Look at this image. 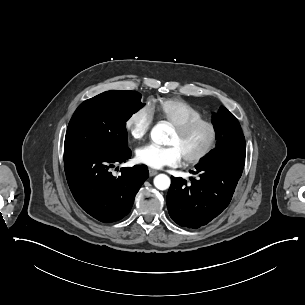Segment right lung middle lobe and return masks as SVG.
<instances>
[{
    "label": "right lung middle lobe",
    "instance_id": "obj_1",
    "mask_svg": "<svg viewBox=\"0 0 305 305\" xmlns=\"http://www.w3.org/2000/svg\"><path fill=\"white\" fill-rule=\"evenodd\" d=\"M143 106L136 91H106L84 101L69 122L64 151L113 153L127 148L126 122Z\"/></svg>",
    "mask_w": 305,
    "mask_h": 305
}]
</instances>
